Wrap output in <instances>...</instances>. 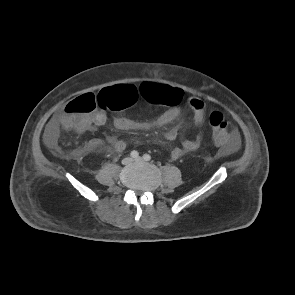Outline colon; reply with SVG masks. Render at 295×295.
<instances>
[{
  "label": "colon",
  "mask_w": 295,
  "mask_h": 295,
  "mask_svg": "<svg viewBox=\"0 0 295 295\" xmlns=\"http://www.w3.org/2000/svg\"><path fill=\"white\" fill-rule=\"evenodd\" d=\"M138 93L153 104L175 106L182 100L178 90L165 85L144 83L138 91L129 84H117L103 89L98 95L85 94L69 101L63 108L60 125L67 130L77 129L96 107L119 111L131 106L136 101ZM209 122L214 143L229 146L235 142L237 134L220 112H212Z\"/></svg>",
  "instance_id": "1"
}]
</instances>
